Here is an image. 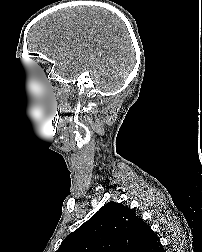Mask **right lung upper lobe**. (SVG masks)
<instances>
[{"label":"right lung upper lobe","instance_id":"obj_1","mask_svg":"<svg viewBox=\"0 0 202 252\" xmlns=\"http://www.w3.org/2000/svg\"><path fill=\"white\" fill-rule=\"evenodd\" d=\"M162 247L132 209L109 202L67 236L56 252H162Z\"/></svg>","mask_w":202,"mask_h":252}]
</instances>
